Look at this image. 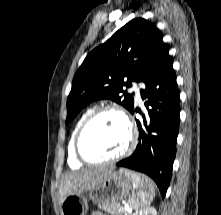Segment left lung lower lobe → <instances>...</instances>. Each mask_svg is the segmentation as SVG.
<instances>
[{
  "mask_svg": "<svg viewBox=\"0 0 221 215\" xmlns=\"http://www.w3.org/2000/svg\"><path fill=\"white\" fill-rule=\"evenodd\" d=\"M141 82L146 86L140 91L146 106L144 124L142 127L137 121L139 141L136 149L131 156L119 161L117 166L150 176L164 198L172 176L180 122V93L165 44ZM134 111L133 107L130 112L133 114Z\"/></svg>",
  "mask_w": 221,
  "mask_h": 215,
  "instance_id": "obj_1",
  "label": "left lung lower lobe"
}]
</instances>
